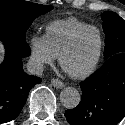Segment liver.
I'll use <instances>...</instances> for the list:
<instances>
[{"label":"liver","instance_id":"6515ba94","mask_svg":"<svg viewBox=\"0 0 125 125\" xmlns=\"http://www.w3.org/2000/svg\"><path fill=\"white\" fill-rule=\"evenodd\" d=\"M3 52H4L3 45L0 43V62L3 59Z\"/></svg>","mask_w":125,"mask_h":125}]
</instances>
